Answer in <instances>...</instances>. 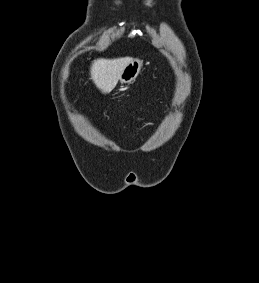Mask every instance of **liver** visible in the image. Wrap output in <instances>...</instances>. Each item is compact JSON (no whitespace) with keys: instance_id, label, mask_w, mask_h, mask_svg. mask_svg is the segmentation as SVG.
I'll list each match as a JSON object with an SVG mask.
<instances>
[{"instance_id":"1","label":"liver","mask_w":259,"mask_h":283,"mask_svg":"<svg viewBox=\"0 0 259 283\" xmlns=\"http://www.w3.org/2000/svg\"><path fill=\"white\" fill-rule=\"evenodd\" d=\"M131 57L117 59H97L91 66V79L102 93L111 92L118 83L124 68L132 61Z\"/></svg>"}]
</instances>
